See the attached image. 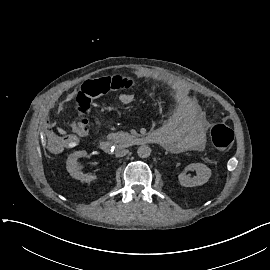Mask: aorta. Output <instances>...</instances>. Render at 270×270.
I'll return each mask as SVG.
<instances>
[{"instance_id": "obj_1", "label": "aorta", "mask_w": 270, "mask_h": 270, "mask_svg": "<svg viewBox=\"0 0 270 270\" xmlns=\"http://www.w3.org/2000/svg\"><path fill=\"white\" fill-rule=\"evenodd\" d=\"M138 156L141 158H147L151 154V148L147 145H141L137 150Z\"/></svg>"}]
</instances>
